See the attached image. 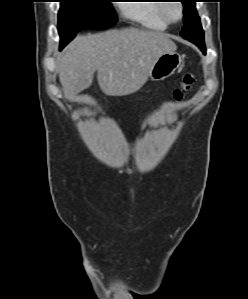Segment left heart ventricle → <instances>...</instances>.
<instances>
[{
  "label": "left heart ventricle",
  "mask_w": 248,
  "mask_h": 299,
  "mask_svg": "<svg viewBox=\"0 0 248 299\" xmlns=\"http://www.w3.org/2000/svg\"><path fill=\"white\" fill-rule=\"evenodd\" d=\"M168 14L171 18L177 19L180 15L179 8L175 4L170 5L168 8Z\"/></svg>",
  "instance_id": "b2bd125f"
}]
</instances>
